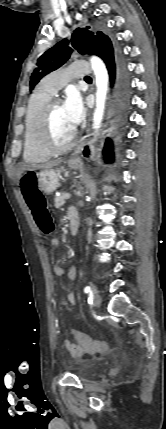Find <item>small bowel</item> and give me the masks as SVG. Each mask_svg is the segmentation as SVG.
<instances>
[{"instance_id": "1", "label": "small bowel", "mask_w": 166, "mask_h": 429, "mask_svg": "<svg viewBox=\"0 0 166 429\" xmlns=\"http://www.w3.org/2000/svg\"><path fill=\"white\" fill-rule=\"evenodd\" d=\"M75 209H70V211H73ZM69 211V212H70ZM50 246L53 248H57L59 246V239L57 237H54L50 240ZM53 273L56 276L62 277V276H67L71 281H75L77 278V268L75 266H70L68 268H63L60 266H54L53 267ZM68 301L70 304L74 305L75 304V298L74 295L70 292L67 295ZM63 346L70 351V353L74 356V357H82L84 354V350L81 346L79 345H75L72 344L70 341L68 340H64L63 341Z\"/></svg>"}]
</instances>
